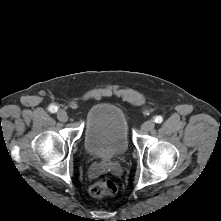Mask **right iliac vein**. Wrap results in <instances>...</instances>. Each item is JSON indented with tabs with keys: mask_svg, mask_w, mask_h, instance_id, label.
<instances>
[{
	"mask_svg": "<svg viewBox=\"0 0 221 221\" xmlns=\"http://www.w3.org/2000/svg\"><path fill=\"white\" fill-rule=\"evenodd\" d=\"M57 117L62 122H66L68 120L67 112L65 110H62V109L58 110Z\"/></svg>",
	"mask_w": 221,
	"mask_h": 221,
	"instance_id": "1",
	"label": "right iliac vein"
}]
</instances>
